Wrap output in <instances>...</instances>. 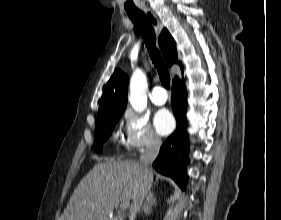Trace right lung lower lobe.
Instances as JSON below:
<instances>
[{"label": "right lung lower lobe", "mask_w": 281, "mask_h": 220, "mask_svg": "<svg viewBox=\"0 0 281 220\" xmlns=\"http://www.w3.org/2000/svg\"><path fill=\"white\" fill-rule=\"evenodd\" d=\"M171 106L177 120V128L161 146L153 167L159 173L174 179L182 189H186L188 181L186 165L189 163V148L186 131L187 92L183 81L173 82Z\"/></svg>", "instance_id": "right-lung-lower-lobe-1"}]
</instances>
